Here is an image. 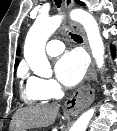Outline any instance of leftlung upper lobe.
<instances>
[{
    "mask_svg": "<svg viewBox=\"0 0 117 131\" xmlns=\"http://www.w3.org/2000/svg\"><path fill=\"white\" fill-rule=\"evenodd\" d=\"M76 3H78L79 5H84L83 2H80L79 0H75Z\"/></svg>",
    "mask_w": 117,
    "mask_h": 131,
    "instance_id": "obj_1",
    "label": "left lung upper lobe"
}]
</instances>
